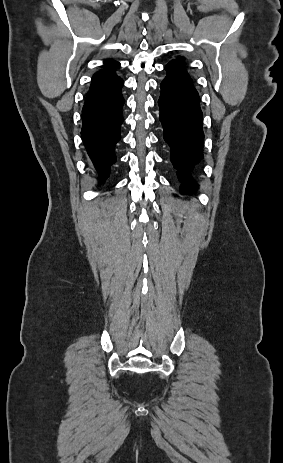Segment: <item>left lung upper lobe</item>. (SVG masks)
Returning a JSON list of instances; mask_svg holds the SVG:
<instances>
[{
  "instance_id": "1",
  "label": "left lung upper lobe",
  "mask_w": 283,
  "mask_h": 463,
  "mask_svg": "<svg viewBox=\"0 0 283 463\" xmlns=\"http://www.w3.org/2000/svg\"><path fill=\"white\" fill-rule=\"evenodd\" d=\"M174 61H177L178 63L184 65V61H183V59H181V58H178L177 60H174Z\"/></svg>"
}]
</instances>
